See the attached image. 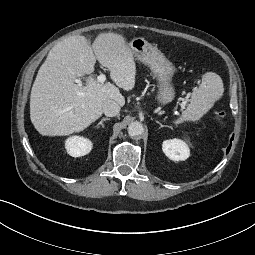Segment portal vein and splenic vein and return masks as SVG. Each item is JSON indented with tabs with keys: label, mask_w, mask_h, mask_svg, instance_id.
Segmentation results:
<instances>
[{
	"label": "portal vein and splenic vein",
	"mask_w": 255,
	"mask_h": 255,
	"mask_svg": "<svg viewBox=\"0 0 255 255\" xmlns=\"http://www.w3.org/2000/svg\"><path fill=\"white\" fill-rule=\"evenodd\" d=\"M106 80V76L105 74H100L98 77H97V81L99 83H103L105 82ZM75 82L77 83L78 86H82V81L80 79H76Z\"/></svg>",
	"instance_id": "portal-vein-and-splenic-vein-1"
}]
</instances>
